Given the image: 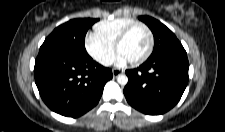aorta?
Here are the masks:
<instances>
[{"mask_svg": "<svg viewBox=\"0 0 225 132\" xmlns=\"http://www.w3.org/2000/svg\"><path fill=\"white\" fill-rule=\"evenodd\" d=\"M117 82L120 85H126L127 82H128V77L124 74H120V75L117 76Z\"/></svg>", "mask_w": 225, "mask_h": 132, "instance_id": "1", "label": "aorta"}]
</instances>
